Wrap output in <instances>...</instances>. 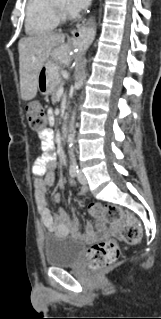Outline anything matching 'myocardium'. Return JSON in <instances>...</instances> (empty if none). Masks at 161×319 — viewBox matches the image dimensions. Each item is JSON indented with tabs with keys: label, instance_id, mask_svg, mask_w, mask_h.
<instances>
[{
	"label": "myocardium",
	"instance_id": "1",
	"mask_svg": "<svg viewBox=\"0 0 161 319\" xmlns=\"http://www.w3.org/2000/svg\"><path fill=\"white\" fill-rule=\"evenodd\" d=\"M53 8L59 20L63 22L71 20L70 15L65 11V9L57 6L54 2H53Z\"/></svg>",
	"mask_w": 161,
	"mask_h": 319
}]
</instances>
